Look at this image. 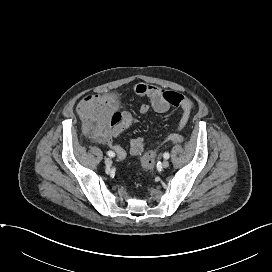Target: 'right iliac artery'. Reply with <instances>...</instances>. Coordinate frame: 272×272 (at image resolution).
I'll return each mask as SVG.
<instances>
[{
	"instance_id": "right-iliac-artery-1",
	"label": "right iliac artery",
	"mask_w": 272,
	"mask_h": 272,
	"mask_svg": "<svg viewBox=\"0 0 272 272\" xmlns=\"http://www.w3.org/2000/svg\"><path fill=\"white\" fill-rule=\"evenodd\" d=\"M107 155H108L109 157H114V156H115V153H114L113 151H108V152H107Z\"/></svg>"
}]
</instances>
